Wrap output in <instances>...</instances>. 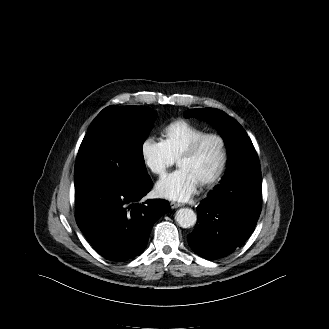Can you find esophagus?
Wrapping results in <instances>:
<instances>
[{"label":"esophagus","mask_w":329,"mask_h":329,"mask_svg":"<svg viewBox=\"0 0 329 329\" xmlns=\"http://www.w3.org/2000/svg\"><path fill=\"white\" fill-rule=\"evenodd\" d=\"M183 204L181 203H177V202H171L170 203V206L172 209H175V208H178V207H181Z\"/></svg>","instance_id":"obj_1"}]
</instances>
